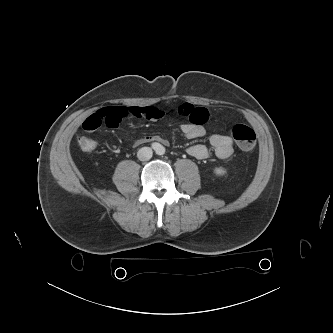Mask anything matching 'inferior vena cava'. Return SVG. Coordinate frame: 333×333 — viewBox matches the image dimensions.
I'll return each instance as SVG.
<instances>
[{
	"instance_id": "inferior-vena-cava-1",
	"label": "inferior vena cava",
	"mask_w": 333,
	"mask_h": 333,
	"mask_svg": "<svg viewBox=\"0 0 333 333\" xmlns=\"http://www.w3.org/2000/svg\"><path fill=\"white\" fill-rule=\"evenodd\" d=\"M153 155V151L150 147H143L140 148L138 153H137V157L139 160L141 161H148L151 159Z\"/></svg>"
}]
</instances>
